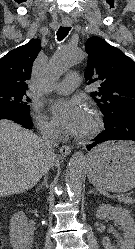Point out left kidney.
<instances>
[{"label": "left kidney", "instance_id": "5707ae66", "mask_svg": "<svg viewBox=\"0 0 135 249\" xmlns=\"http://www.w3.org/2000/svg\"><path fill=\"white\" fill-rule=\"evenodd\" d=\"M96 217L100 220L112 218L123 228L124 240L120 249H134L135 246V223L130 212L124 208H115L110 205L102 204L98 207ZM104 249H118L114 246L108 237L103 238Z\"/></svg>", "mask_w": 135, "mask_h": 249}]
</instances>
